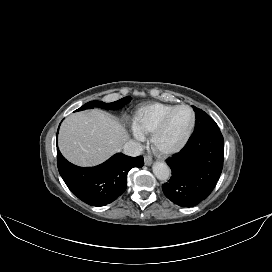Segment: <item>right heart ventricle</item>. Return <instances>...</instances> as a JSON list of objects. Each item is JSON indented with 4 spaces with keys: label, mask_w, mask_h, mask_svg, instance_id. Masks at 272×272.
Wrapping results in <instances>:
<instances>
[{
    "label": "right heart ventricle",
    "mask_w": 272,
    "mask_h": 272,
    "mask_svg": "<svg viewBox=\"0 0 272 272\" xmlns=\"http://www.w3.org/2000/svg\"><path fill=\"white\" fill-rule=\"evenodd\" d=\"M174 107L176 106L154 103L138 109L132 117L133 131L139 138L153 133L164 116Z\"/></svg>",
    "instance_id": "obj_1"
}]
</instances>
